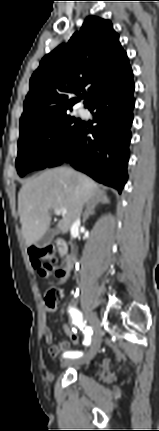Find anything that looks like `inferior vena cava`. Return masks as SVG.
I'll return each mask as SVG.
<instances>
[{
	"label": "inferior vena cava",
	"instance_id": "obj_1",
	"mask_svg": "<svg viewBox=\"0 0 159 431\" xmlns=\"http://www.w3.org/2000/svg\"><path fill=\"white\" fill-rule=\"evenodd\" d=\"M78 222H79V219L76 220V223H78Z\"/></svg>",
	"mask_w": 159,
	"mask_h": 431
}]
</instances>
